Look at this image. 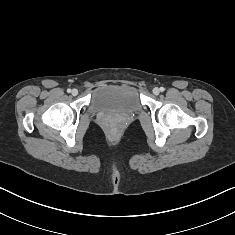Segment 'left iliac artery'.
I'll return each instance as SVG.
<instances>
[{
	"instance_id": "left-iliac-artery-1",
	"label": "left iliac artery",
	"mask_w": 235,
	"mask_h": 235,
	"mask_svg": "<svg viewBox=\"0 0 235 235\" xmlns=\"http://www.w3.org/2000/svg\"><path fill=\"white\" fill-rule=\"evenodd\" d=\"M165 89L164 87H160V91L163 92Z\"/></svg>"
}]
</instances>
